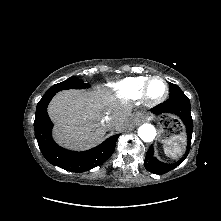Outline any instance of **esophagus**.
Here are the masks:
<instances>
[{
    "label": "esophagus",
    "mask_w": 221,
    "mask_h": 221,
    "mask_svg": "<svg viewBox=\"0 0 221 221\" xmlns=\"http://www.w3.org/2000/svg\"><path fill=\"white\" fill-rule=\"evenodd\" d=\"M137 119H138V123L143 122V120H141V119L139 118V116L137 117Z\"/></svg>",
    "instance_id": "obj_1"
}]
</instances>
